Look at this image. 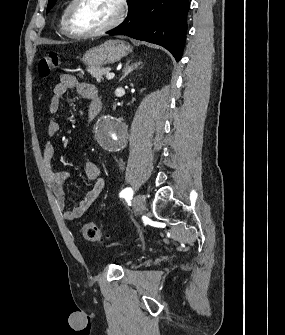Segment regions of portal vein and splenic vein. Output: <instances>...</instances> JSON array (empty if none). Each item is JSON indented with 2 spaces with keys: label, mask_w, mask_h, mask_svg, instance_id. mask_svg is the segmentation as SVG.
Wrapping results in <instances>:
<instances>
[{
  "label": "portal vein and splenic vein",
  "mask_w": 285,
  "mask_h": 335,
  "mask_svg": "<svg viewBox=\"0 0 285 335\" xmlns=\"http://www.w3.org/2000/svg\"><path fill=\"white\" fill-rule=\"evenodd\" d=\"M115 74H107L106 78L107 80H113Z\"/></svg>",
  "instance_id": "1"
}]
</instances>
